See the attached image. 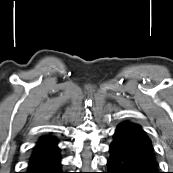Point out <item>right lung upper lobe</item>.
Listing matches in <instances>:
<instances>
[{"instance_id": "cb5924a9", "label": "right lung upper lobe", "mask_w": 173, "mask_h": 173, "mask_svg": "<svg viewBox=\"0 0 173 173\" xmlns=\"http://www.w3.org/2000/svg\"><path fill=\"white\" fill-rule=\"evenodd\" d=\"M57 139L52 136V135H45L40 137V139L38 140V142L36 143L35 147H45V146H50V145H54L57 144Z\"/></svg>"}]
</instances>
